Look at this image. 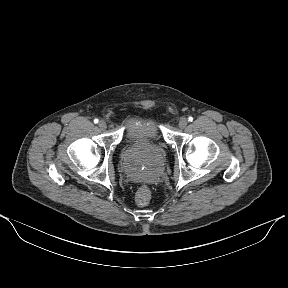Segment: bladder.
Returning a JSON list of instances; mask_svg holds the SVG:
<instances>
[{
    "mask_svg": "<svg viewBox=\"0 0 288 288\" xmlns=\"http://www.w3.org/2000/svg\"><path fill=\"white\" fill-rule=\"evenodd\" d=\"M124 133L128 141L141 142L159 137L160 132L154 120L140 117L130 120L125 126Z\"/></svg>",
    "mask_w": 288,
    "mask_h": 288,
    "instance_id": "bladder-1",
    "label": "bladder"
}]
</instances>
